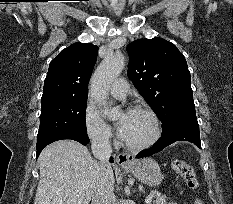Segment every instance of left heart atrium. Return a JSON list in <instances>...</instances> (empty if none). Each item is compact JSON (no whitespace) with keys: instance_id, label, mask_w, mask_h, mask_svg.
Instances as JSON below:
<instances>
[{"instance_id":"left-heart-atrium-1","label":"left heart atrium","mask_w":233,"mask_h":204,"mask_svg":"<svg viewBox=\"0 0 233 204\" xmlns=\"http://www.w3.org/2000/svg\"><path fill=\"white\" fill-rule=\"evenodd\" d=\"M118 133L121 137H123V135H124V125L123 124L118 125Z\"/></svg>"}]
</instances>
